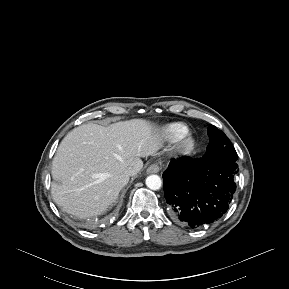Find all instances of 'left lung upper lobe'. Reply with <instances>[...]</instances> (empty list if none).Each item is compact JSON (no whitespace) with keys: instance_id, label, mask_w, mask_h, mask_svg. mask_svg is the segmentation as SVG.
Wrapping results in <instances>:
<instances>
[{"instance_id":"1","label":"left lung upper lobe","mask_w":289,"mask_h":289,"mask_svg":"<svg viewBox=\"0 0 289 289\" xmlns=\"http://www.w3.org/2000/svg\"><path fill=\"white\" fill-rule=\"evenodd\" d=\"M210 143L207 146L206 158L216 163L236 162L237 153L228 137L214 125L208 127Z\"/></svg>"}]
</instances>
